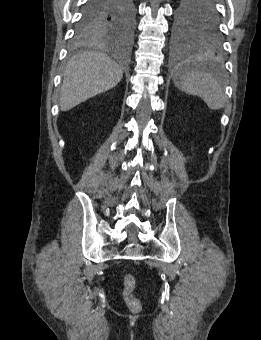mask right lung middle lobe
Instances as JSON below:
<instances>
[{"mask_svg":"<svg viewBox=\"0 0 261 340\" xmlns=\"http://www.w3.org/2000/svg\"><path fill=\"white\" fill-rule=\"evenodd\" d=\"M135 22L133 0H125L124 9L116 15L103 14L80 21L73 39L74 46L109 40L130 39Z\"/></svg>","mask_w":261,"mask_h":340,"instance_id":"dd1d6c3e","label":"right lung middle lobe"}]
</instances>
